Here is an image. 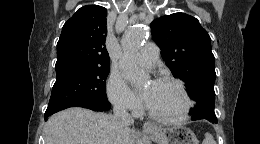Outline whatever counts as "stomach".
Listing matches in <instances>:
<instances>
[{
	"mask_svg": "<svg viewBox=\"0 0 260 144\" xmlns=\"http://www.w3.org/2000/svg\"><path fill=\"white\" fill-rule=\"evenodd\" d=\"M148 135L156 144H199L193 131L185 126L155 127Z\"/></svg>",
	"mask_w": 260,
	"mask_h": 144,
	"instance_id": "1",
	"label": "stomach"
}]
</instances>
